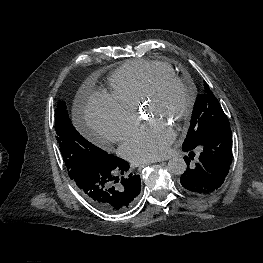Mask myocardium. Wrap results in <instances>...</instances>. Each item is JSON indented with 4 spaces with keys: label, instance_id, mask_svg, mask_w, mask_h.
<instances>
[{
    "label": "myocardium",
    "instance_id": "myocardium-1",
    "mask_svg": "<svg viewBox=\"0 0 263 263\" xmlns=\"http://www.w3.org/2000/svg\"><path fill=\"white\" fill-rule=\"evenodd\" d=\"M169 84H176L180 86L187 94L186 105L181 113L176 117L174 122L176 125H180L190 118L197 100L196 89L188 80L176 74H163L158 76L146 90L140 101V105L143 106L153 99L157 98L163 91V89Z\"/></svg>",
    "mask_w": 263,
    "mask_h": 263
}]
</instances>
